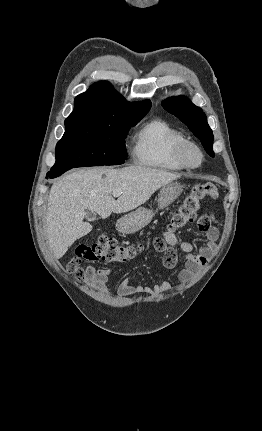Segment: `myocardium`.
Listing matches in <instances>:
<instances>
[{
    "label": "myocardium",
    "mask_w": 262,
    "mask_h": 431,
    "mask_svg": "<svg viewBox=\"0 0 262 431\" xmlns=\"http://www.w3.org/2000/svg\"><path fill=\"white\" fill-rule=\"evenodd\" d=\"M191 154L197 155V163L193 164L189 161V157ZM176 158L184 169L195 170L202 166L204 154L197 144L192 141H185L178 146L176 150Z\"/></svg>",
    "instance_id": "f54148a6"
}]
</instances>
